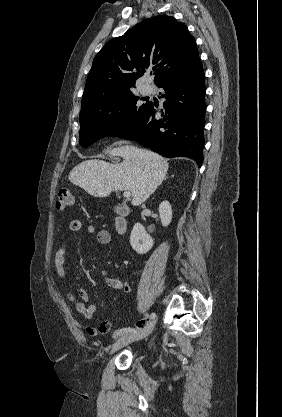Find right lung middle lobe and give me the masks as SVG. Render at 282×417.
Segmentation results:
<instances>
[{"instance_id": "obj_1", "label": "right lung middle lobe", "mask_w": 282, "mask_h": 417, "mask_svg": "<svg viewBox=\"0 0 282 417\" xmlns=\"http://www.w3.org/2000/svg\"><path fill=\"white\" fill-rule=\"evenodd\" d=\"M130 90L98 94L82 100L79 143L87 148L95 141L129 130L148 103Z\"/></svg>"}]
</instances>
